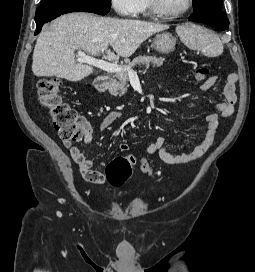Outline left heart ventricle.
Instances as JSON below:
<instances>
[{"mask_svg":"<svg viewBox=\"0 0 255 272\" xmlns=\"http://www.w3.org/2000/svg\"><path fill=\"white\" fill-rule=\"evenodd\" d=\"M160 3L164 11L174 13L183 10L188 0H160Z\"/></svg>","mask_w":255,"mask_h":272,"instance_id":"left-heart-ventricle-1","label":"left heart ventricle"}]
</instances>
